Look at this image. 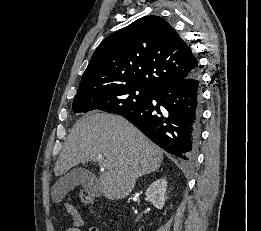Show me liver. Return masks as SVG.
<instances>
[{"label": "liver", "mask_w": 261, "mask_h": 231, "mask_svg": "<svg viewBox=\"0 0 261 231\" xmlns=\"http://www.w3.org/2000/svg\"><path fill=\"white\" fill-rule=\"evenodd\" d=\"M90 161L105 168L98 180L99 190L109 199H121L130 194L138 176L161 166L163 152L125 118L91 113L74 124L54 173L61 176Z\"/></svg>", "instance_id": "obj_1"}]
</instances>
